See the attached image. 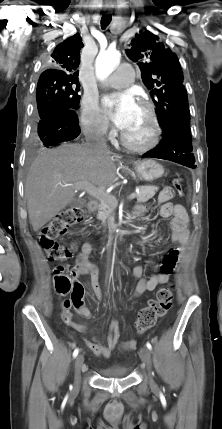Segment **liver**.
Here are the masks:
<instances>
[{"instance_id": "6515ba94", "label": "liver", "mask_w": 222, "mask_h": 429, "mask_svg": "<svg viewBox=\"0 0 222 429\" xmlns=\"http://www.w3.org/2000/svg\"><path fill=\"white\" fill-rule=\"evenodd\" d=\"M120 157L87 145L64 144L43 150L33 161L26 180L25 197L34 231L41 229L74 200L75 188L87 181L104 189L116 179L115 161Z\"/></svg>"}]
</instances>
